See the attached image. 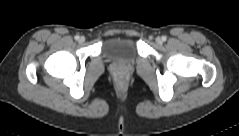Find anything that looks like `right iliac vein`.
Listing matches in <instances>:
<instances>
[{
    "mask_svg": "<svg viewBox=\"0 0 239 136\" xmlns=\"http://www.w3.org/2000/svg\"><path fill=\"white\" fill-rule=\"evenodd\" d=\"M84 42H85V37L81 36V37L79 38V43H84Z\"/></svg>",
    "mask_w": 239,
    "mask_h": 136,
    "instance_id": "63e3f726",
    "label": "right iliac vein"
}]
</instances>
